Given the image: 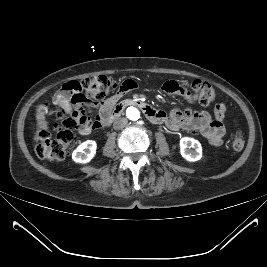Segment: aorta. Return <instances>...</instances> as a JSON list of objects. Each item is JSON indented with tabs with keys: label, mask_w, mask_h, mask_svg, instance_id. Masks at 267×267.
I'll use <instances>...</instances> for the list:
<instances>
[{
	"label": "aorta",
	"mask_w": 267,
	"mask_h": 267,
	"mask_svg": "<svg viewBox=\"0 0 267 267\" xmlns=\"http://www.w3.org/2000/svg\"><path fill=\"white\" fill-rule=\"evenodd\" d=\"M126 116L131 121H137L141 117V112L137 107H128L126 110Z\"/></svg>",
	"instance_id": "aorta-1"
}]
</instances>
